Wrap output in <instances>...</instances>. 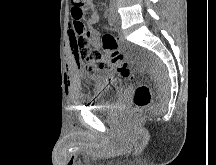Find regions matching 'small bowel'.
Wrapping results in <instances>:
<instances>
[{
  "label": "small bowel",
  "mask_w": 216,
  "mask_h": 165,
  "mask_svg": "<svg viewBox=\"0 0 216 165\" xmlns=\"http://www.w3.org/2000/svg\"><path fill=\"white\" fill-rule=\"evenodd\" d=\"M92 11L90 17L86 19V23L83 22V15L85 9L72 8L71 18L69 21V43L70 47L74 53V58L76 62L79 63V52L76 46V41L80 36H86L89 39L90 45L97 48L100 45V34L93 27L99 22V12L93 6H89Z\"/></svg>",
  "instance_id": "c3829d8e"
}]
</instances>
